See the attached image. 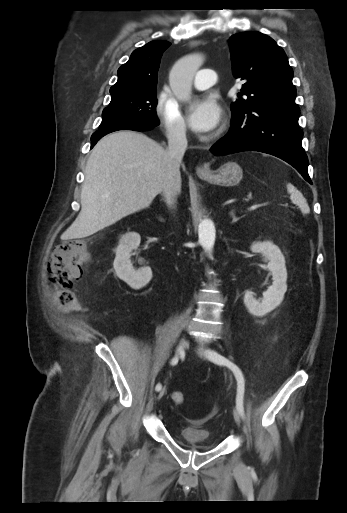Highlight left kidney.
<instances>
[{"mask_svg":"<svg viewBox=\"0 0 347 513\" xmlns=\"http://www.w3.org/2000/svg\"><path fill=\"white\" fill-rule=\"evenodd\" d=\"M251 251L262 254L264 261H269L268 269L272 273L273 283L263 293L261 302L254 297L252 291H246L244 304L252 315L264 316L281 304L287 291L285 258L279 247L271 241L253 243Z\"/></svg>","mask_w":347,"mask_h":513,"instance_id":"5707ae66","label":"left kidney"}]
</instances>
